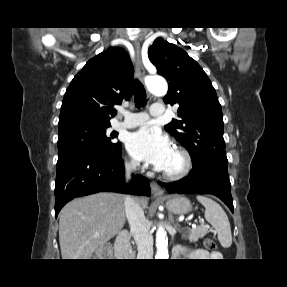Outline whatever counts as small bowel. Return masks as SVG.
Here are the masks:
<instances>
[{
  "label": "small bowel",
  "mask_w": 287,
  "mask_h": 287,
  "mask_svg": "<svg viewBox=\"0 0 287 287\" xmlns=\"http://www.w3.org/2000/svg\"><path fill=\"white\" fill-rule=\"evenodd\" d=\"M211 254L206 250L203 249H195V250H190L186 247L179 246L174 250V256L176 258L179 257H186V258H192V259H208Z\"/></svg>",
  "instance_id": "small-bowel-1"
}]
</instances>
